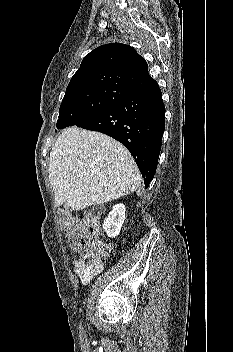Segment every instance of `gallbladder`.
<instances>
[{
  "label": "gallbladder",
  "mask_w": 233,
  "mask_h": 352,
  "mask_svg": "<svg viewBox=\"0 0 233 352\" xmlns=\"http://www.w3.org/2000/svg\"><path fill=\"white\" fill-rule=\"evenodd\" d=\"M64 208L66 209V210H68L69 208L64 204Z\"/></svg>",
  "instance_id": "gallbladder-1"
}]
</instances>
